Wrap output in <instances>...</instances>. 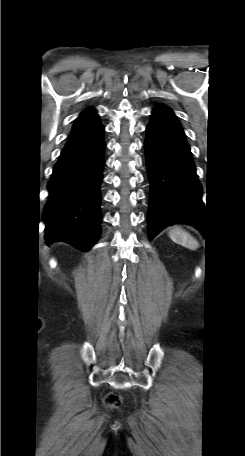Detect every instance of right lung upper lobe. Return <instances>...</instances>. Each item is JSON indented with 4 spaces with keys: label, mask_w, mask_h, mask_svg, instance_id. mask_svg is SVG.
Segmentation results:
<instances>
[{
    "label": "right lung upper lobe",
    "mask_w": 245,
    "mask_h": 456,
    "mask_svg": "<svg viewBox=\"0 0 245 456\" xmlns=\"http://www.w3.org/2000/svg\"><path fill=\"white\" fill-rule=\"evenodd\" d=\"M102 125L98 115L92 109H87L76 119L71 135L64 148L77 147L92 141L97 137Z\"/></svg>",
    "instance_id": "right-lung-upper-lobe-1"
}]
</instances>
